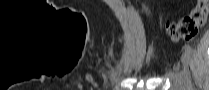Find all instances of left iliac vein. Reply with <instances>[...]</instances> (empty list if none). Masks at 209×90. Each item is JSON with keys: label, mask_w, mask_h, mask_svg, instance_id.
Instances as JSON below:
<instances>
[{"label": "left iliac vein", "mask_w": 209, "mask_h": 90, "mask_svg": "<svg viewBox=\"0 0 209 90\" xmlns=\"http://www.w3.org/2000/svg\"><path fill=\"white\" fill-rule=\"evenodd\" d=\"M182 64L185 68L189 67L190 57L186 52H184L183 55H182Z\"/></svg>", "instance_id": "1"}]
</instances>
